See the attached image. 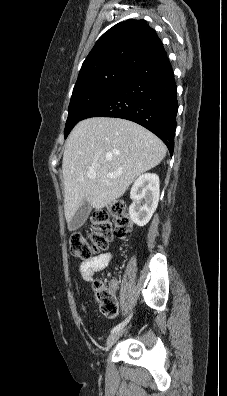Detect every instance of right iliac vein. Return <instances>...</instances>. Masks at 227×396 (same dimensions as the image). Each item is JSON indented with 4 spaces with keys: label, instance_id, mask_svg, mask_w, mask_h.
<instances>
[{
    "label": "right iliac vein",
    "instance_id": "1",
    "mask_svg": "<svg viewBox=\"0 0 227 396\" xmlns=\"http://www.w3.org/2000/svg\"><path fill=\"white\" fill-rule=\"evenodd\" d=\"M124 330H119L117 332L112 333L106 341V351H108L111 346L122 336Z\"/></svg>",
    "mask_w": 227,
    "mask_h": 396
}]
</instances>
